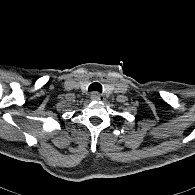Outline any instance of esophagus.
Instances as JSON below:
<instances>
[{
    "mask_svg": "<svg viewBox=\"0 0 195 195\" xmlns=\"http://www.w3.org/2000/svg\"><path fill=\"white\" fill-rule=\"evenodd\" d=\"M90 98L92 100L99 101V100L102 99V96L98 92H92L91 95H90Z\"/></svg>",
    "mask_w": 195,
    "mask_h": 195,
    "instance_id": "34e87169",
    "label": "esophagus"
}]
</instances>
